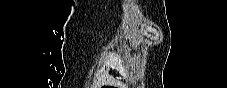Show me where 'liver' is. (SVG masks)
Here are the masks:
<instances>
[{
  "mask_svg": "<svg viewBox=\"0 0 227 88\" xmlns=\"http://www.w3.org/2000/svg\"><path fill=\"white\" fill-rule=\"evenodd\" d=\"M118 59H119V58H118L117 56L115 57L114 54H112V55L109 56V61H110V63H112V64H115V63L117 62Z\"/></svg>",
  "mask_w": 227,
  "mask_h": 88,
  "instance_id": "6515ba94",
  "label": "liver"
}]
</instances>
